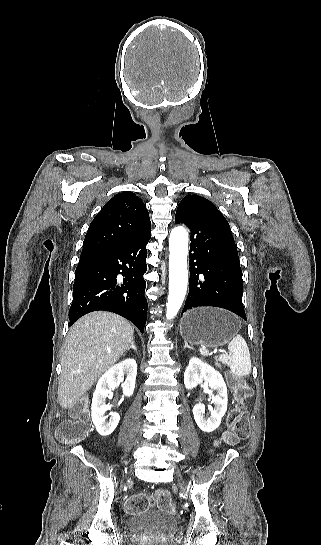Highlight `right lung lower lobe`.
I'll use <instances>...</instances> for the list:
<instances>
[{
  "label": "right lung lower lobe",
  "mask_w": 321,
  "mask_h": 545,
  "mask_svg": "<svg viewBox=\"0 0 321 545\" xmlns=\"http://www.w3.org/2000/svg\"><path fill=\"white\" fill-rule=\"evenodd\" d=\"M149 240L150 232L119 248L80 257L69 326L89 312L105 310L127 318L144 333L147 300L143 275ZM118 274L124 276L123 282L117 280Z\"/></svg>",
  "instance_id": "obj_1"
}]
</instances>
